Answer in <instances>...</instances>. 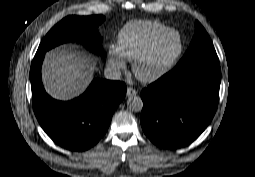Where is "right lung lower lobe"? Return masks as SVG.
<instances>
[{"instance_id": "1", "label": "right lung lower lobe", "mask_w": 255, "mask_h": 177, "mask_svg": "<svg viewBox=\"0 0 255 177\" xmlns=\"http://www.w3.org/2000/svg\"><path fill=\"white\" fill-rule=\"evenodd\" d=\"M45 53L35 55L30 69L33 109L47 135L58 145L87 150L107 131L118 104L125 98L123 82L95 79L84 94L68 101L52 99L41 81Z\"/></svg>"}]
</instances>
